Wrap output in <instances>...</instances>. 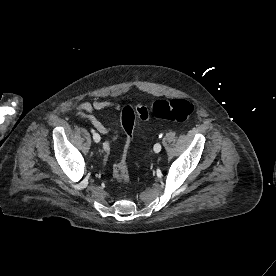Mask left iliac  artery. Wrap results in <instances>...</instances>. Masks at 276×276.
<instances>
[{
  "mask_svg": "<svg viewBox=\"0 0 276 276\" xmlns=\"http://www.w3.org/2000/svg\"><path fill=\"white\" fill-rule=\"evenodd\" d=\"M162 136H163V135H162V134H160V135H159V138H161Z\"/></svg>",
  "mask_w": 276,
  "mask_h": 276,
  "instance_id": "obj_1",
  "label": "left iliac artery"
}]
</instances>
